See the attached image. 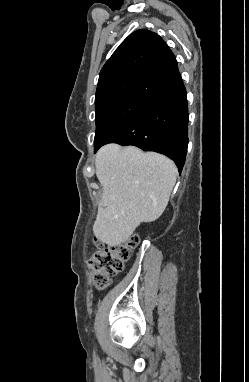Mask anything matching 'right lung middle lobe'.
I'll return each instance as SVG.
<instances>
[{"instance_id": "1", "label": "right lung middle lobe", "mask_w": 249, "mask_h": 382, "mask_svg": "<svg viewBox=\"0 0 249 382\" xmlns=\"http://www.w3.org/2000/svg\"><path fill=\"white\" fill-rule=\"evenodd\" d=\"M150 100L128 97L96 109L94 150L129 125Z\"/></svg>"}]
</instances>
